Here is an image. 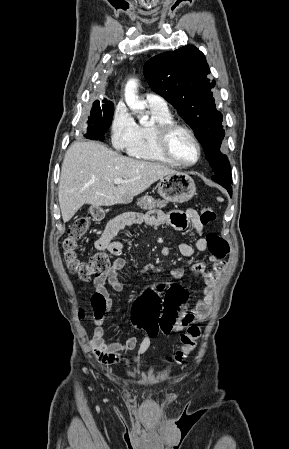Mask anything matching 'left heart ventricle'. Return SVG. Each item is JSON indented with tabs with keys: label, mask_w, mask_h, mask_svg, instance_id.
<instances>
[{
	"label": "left heart ventricle",
	"mask_w": 289,
	"mask_h": 449,
	"mask_svg": "<svg viewBox=\"0 0 289 449\" xmlns=\"http://www.w3.org/2000/svg\"><path fill=\"white\" fill-rule=\"evenodd\" d=\"M172 152L182 162L191 163L197 158V148L191 138L184 132H176L171 139Z\"/></svg>",
	"instance_id": "left-heart-ventricle-1"
}]
</instances>
